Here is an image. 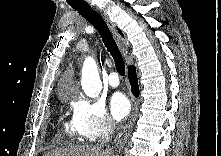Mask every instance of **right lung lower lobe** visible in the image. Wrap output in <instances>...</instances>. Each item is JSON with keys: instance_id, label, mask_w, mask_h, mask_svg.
<instances>
[{"instance_id": "98d812e1", "label": "right lung lower lobe", "mask_w": 221, "mask_h": 156, "mask_svg": "<svg viewBox=\"0 0 221 156\" xmlns=\"http://www.w3.org/2000/svg\"><path fill=\"white\" fill-rule=\"evenodd\" d=\"M128 78L131 85V91L135 97L139 96V86H138V80L136 75V69L135 66H130L128 69Z\"/></svg>"}]
</instances>
